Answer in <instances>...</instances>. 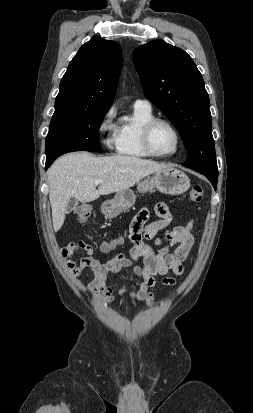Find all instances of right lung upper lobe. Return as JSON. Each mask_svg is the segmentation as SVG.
<instances>
[{
	"label": "right lung upper lobe",
	"mask_w": 253,
	"mask_h": 413,
	"mask_svg": "<svg viewBox=\"0 0 253 413\" xmlns=\"http://www.w3.org/2000/svg\"><path fill=\"white\" fill-rule=\"evenodd\" d=\"M121 68L120 45L92 37L73 57L61 80L53 116L109 110Z\"/></svg>",
	"instance_id": "cb5924a9"
}]
</instances>
